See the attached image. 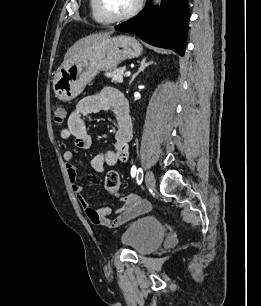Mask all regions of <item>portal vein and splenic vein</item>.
Returning a JSON list of instances; mask_svg holds the SVG:
<instances>
[{
	"label": "portal vein and splenic vein",
	"mask_w": 261,
	"mask_h": 306,
	"mask_svg": "<svg viewBox=\"0 0 261 306\" xmlns=\"http://www.w3.org/2000/svg\"><path fill=\"white\" fill-rule=\"evenodd\" d=\"M130 75H131V73L129 71L125 73V76H127V77L130 76Z\"/></svg>",
	"instance_id": "18ae733b"
}]
</instances>
